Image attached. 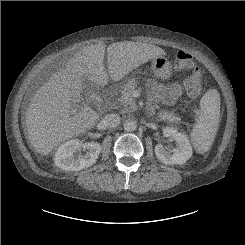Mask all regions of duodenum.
<instances>
[{
    "instance_id": "410a0bca",
    "label": "duodenum",
    "mask_w": 245,
    "mask_h": 245,
    "mask_svg": "<svg viewBox=\"0 0 245 245\" xmlns=\"http://www.w3.org/2000/svg\"><path fill=\"white\" fill-rule=\"evenodd\" d=\"M108 111H110V112H111V111H114V107H113L112 105H109V106H108Z\"/></svg>"
}]
</instances>
